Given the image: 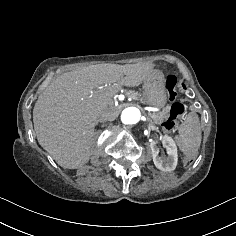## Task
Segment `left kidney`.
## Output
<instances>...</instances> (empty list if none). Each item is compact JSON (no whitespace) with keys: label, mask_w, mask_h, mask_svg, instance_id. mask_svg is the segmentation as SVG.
I'll return each instance as SVG.
<instances>
[{"label":"left kidney","mask_w":236,"mask_h":236,"mask_svg":"<svg viewBox=\"0 0 236 236\" xmlns=\"http://www.w3.org/2000/svg\"><path fill=\"white\" fill-rule=\"evenodd\" d=\"M159 141H152L150 143L152 155H153V162L156 168L162 171H172L175 169L177 165V149L176 145L174 144L173 140L169 137L163 138V147L167 151V156L159 155Z\"/></svg>","instance_id":"obj_1"}]
</instances>
